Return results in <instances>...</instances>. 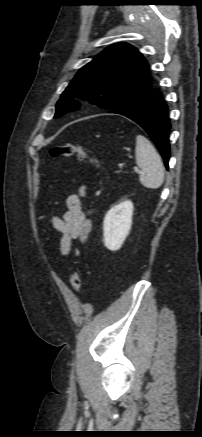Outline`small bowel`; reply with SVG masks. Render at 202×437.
<instances>
[{
  "label": "small bowel",
  "mask_w": 202,
  "mask_h": 437,
  "mask_svg": "<svg viewBox=\"0 0 202 437\" xmlns=\"http://www.w3.org/2000/svg\"><path fill=\"white\" fill-rule=\"evenodd\" d=\"M85 196L86 187L82 186L77 194H71L66 198V211L63 215L52 217L53 228L59 236V250L63 256L70 253L73 241L85 242L91 232V210L84 211L82 206Z\"/></svg>",
  "instance_id": "c3829d8e"
}]
</instances>
